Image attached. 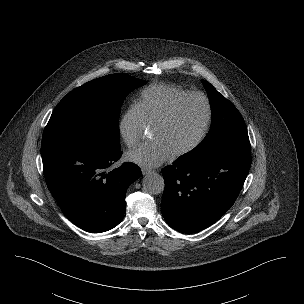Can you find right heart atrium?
Listing matches in <instances>:
<instances>
[{"label":"right heart atrium","instance_id":"d8ad5b80","mask_svg":"<svg viewBox=\"0 0 304 304\" xmlns=\"http://www.w3.org/2000/svg\"><path fill=\"white\" fill-rule=\"evenodd\" d=\"M147 128L148 126L135 103L126 109L118 122L119 135L128 147L137 144Z\"/></svg>","mask_w":304,"mask_h":304}]
</instances>
